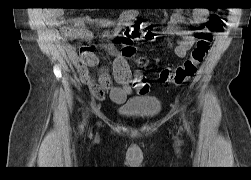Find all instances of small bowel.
Segmentation results:
<instances>
[{
  "label": "small bowel",
  "mask_w": 251,
  "mask_h": 180,
  "mask_svg": "<svg viewBox=\"0 0 251 180\" xmlns=\"http://www.w3.org/2000/svg\"><path fill=\"white\" fill-rule=\"evenodd\" d=\"M62 15L63 12L61 10L48 12V23L50 25H58L61 23ZM138 16L139 12L136 9H128L123 11L115 21L103 19L97 22L105 27H112V34L118 35L124 28L136 22ZM207 16L208 10L205 8L194 9L190 18H186L181 11H176L172 14L164 34L170 37H177V43L173 47L174 54L177 57H185L195 41L193 30L185 29L182 25L190 24L198 28L206 22ZM92 22L93 20L88 17L79 16L72 19L68 26L61 29L63 46L70 58L76 63L80 78L88 87L92 96L97 99H103L105 93L108 92L112 101L123 103L134 91L139 95L148 94L150 91L148 82L140 74L132 73L127 59L110 42H106L102 46L114 56L112 73L102 69L97 80L90 74L88 68L98 63L94 46H83L80 52L77 53L70 41H92L94 35L87 27Z\"/></svg>",
  "instance_id": "c3829d8e"
}]
</instances>
